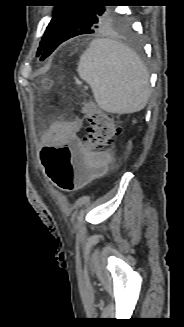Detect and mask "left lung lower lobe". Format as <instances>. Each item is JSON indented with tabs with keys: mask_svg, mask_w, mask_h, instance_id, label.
<instances>
[{
	"mask_svg": "<svg viewBox=\"0 0 184 327\" xmlns=\"http://www.w3.org/2000/svg\"><path fill=\"white\" fill-rule=\"evenodd\" d=\"M77 35L80 34L72 29L69 30V28L64 25V18L61 17L58 20L55 29L53 30V33L41 54V59L43 60L49 56L59 44Z\"/></svg>",
	"mask_w": 184,
	"mask_h": 327,
	"instance_id": "0a47b994",
	"label": "left lung lower lobe"
}]
</instances>
